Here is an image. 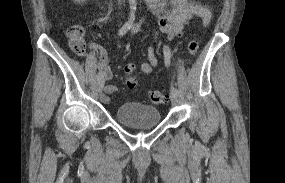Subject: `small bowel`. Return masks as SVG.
Masks as SVG:
<instances>
[{"label": "small bowel", "mask_w": 285, "mask_h": 183, "mask_svg": "<svg viewBox=\"0 0 285 183\" xmlns=\"http://www.w3.org/2000/svg\"><path fill=\"white\" fill-rule=\"evenodd\" d=\"M149 11L158 19V26L155 30V39L159 34H165L168 41L182 38L187 31L189 21L193 18L201 19L202 25L209 24L212 13L211 10L196 0H145ZM140 31V24L132 28L133 33ZM93 51L98 59L99 72L103 74L106 80L112 78V72L109 67L108 54L100 45H94ZM148 61L141 64V71L144 74H150L158 65V58L155 54L154 45L147 49ZM118 87L108 84L104 87V94L101 100L104 103L110 101L109 95L117 92Z\"/></svg>", "instance_id": "c3829d8e"}]
</instances>
